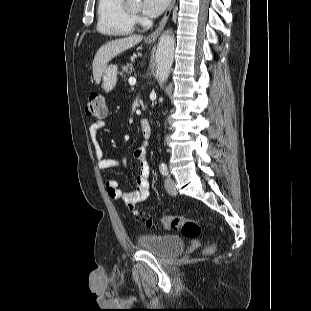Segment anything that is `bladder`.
<instances>
[{
  "instance_id": "31cf9c89",
  "label": "bladder",
  "mask_w": 311,
  "mask_h": 311,
  "mask_svg": "<svg viewBox=\"0 0 311 311\" xmlns=\"http://www.w3.org/2000/svg\"><path fill=\"white\" fill-rule=\"evenodd\" d=\"M139 248L152 252L161 258H169L179 253L185 246L178 235L143 234L137 238Z\"/></svg>"
}]
</instances>
